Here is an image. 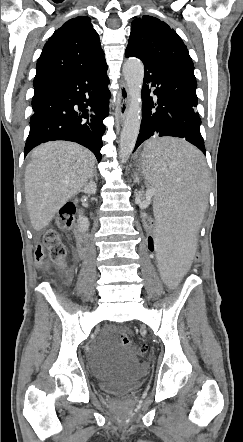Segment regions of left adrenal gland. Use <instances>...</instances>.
Listing matches in <instances>:
<instances>
[{"instance_id": "obj_1", "label": "left adrenal gland", "mask_w": 243, "mask_h": 442, "mask_svg": "<svg viewBox=\"0 0 243 442\" xmlns=\"http://www.w3.org/2000/svg\"><path fill=\"white\" fill-rule=\"evenodd\" d=\"M134 183H139V177H138V173L134 174Z\"/></svg>"}]
</instances>
